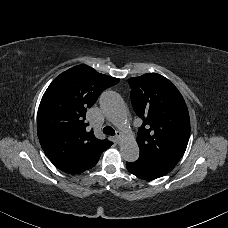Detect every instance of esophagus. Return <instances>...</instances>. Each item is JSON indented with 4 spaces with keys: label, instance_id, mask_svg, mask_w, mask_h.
I'll return each mask as SVG.
<instances>
[{
    "label": "esophagus",
    "instance_id": "esophagus-1",
    "mask_svg": "<svg viewBox=\"0 0 228 228\" xmlns=\"http://www.w3.org/2000/svg\"><path fill=\"white\" fill-rule=\"evenodd\" d=\"M116 138H117V140H118V144H120V140H121V138H122V133H121L120 131H118V132L116 133Z\"/></svg>",
    "mask_w": 228,
    "mask_h": 228
}]
</instances>
